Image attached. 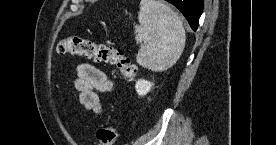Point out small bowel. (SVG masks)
<instances>
[{"label": "small bowel", "mask_w": 276, "mask_h": 145, "mask_svg": "<svg viewBox=\"0 0 276 145\" xmlns=\"http://www.w3.org/2000/svg\"><path fill=\"white\" fill-rule=\"evenodd\" d=\"M76 72L74 87L79 92L82 105L94 113H101L100 94L110 92L113 89V82L105 72L92 64H79Z\"/></svg>", "instance_id": "1"}]
</instances>
